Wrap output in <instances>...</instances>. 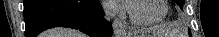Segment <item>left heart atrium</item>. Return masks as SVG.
Wrapping results in <instances>:
<instances>
[{"instance_id":"obj_1","label":"left heart atrium","mask_w":219,"mask_h":37,"mask_svg":"<svg viewBox=\"0 0 219 37\" xmlns=\"http://www.w3.org/2000/svg\"><path fill=\"white\" fill-rule=\"evenodd\" d=\"M122 2H123V4H124L126 7H128V6L130 5V3H131L130 0H122Z\"/></svg>"}]
</instances>
